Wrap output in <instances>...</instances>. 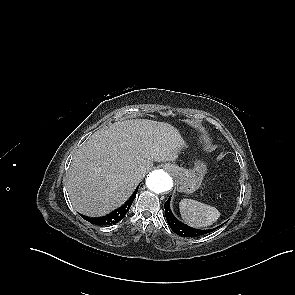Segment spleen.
Instances as JSON below:
<instances>
[{
    "label": "spleen",
    "instance_id": "3e777b00",
    "mask_svg": "<svg viewBox=\"0 0 295 295\" xmlns=\"http://www.w3.org/2000/svg\"><path fill=\"white\" fill-rule=\"evenodd\" d=\"M179 208L182 219L195 228L210 226L221 215L215 207L192 199H182Z\"/></svg>",
    "mask_w": 295,
    "mask_h": 295
}]
</instances>
